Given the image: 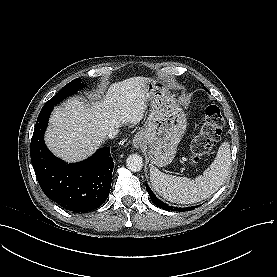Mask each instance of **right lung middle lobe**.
<instances>
[{
	"label": "right lung middle lobe",
	"mask_w": 277,
	"mask_h": 277,
	"mask_svg": "<svg viewBox=\"0 0 277 277\" xmlns=\"http://www.w3.org/2000/svg\"><path fill=\"white\" fill-rule=\"evenodd\" d=\"M85 85L81 83V79L77 78L65 85L54 97H52L43 107L54 106L60 101L64 100L69 95L76 93L79 89H82Z\"/></svg>",
	"instance_id": "obj_1"
}]
</instances>
